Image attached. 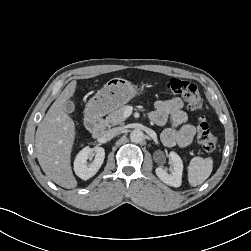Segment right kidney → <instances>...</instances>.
Segmentation results:
<instances>
[{
	"label": "right kidney",
	"mask_w": 251,
	"mask_h": 251,
	"mask_svg": "<svg viewBox=\"0 0 251 251\" xmlns=\"http://www.w3.org/2000/svg\"><path fill=\"white\" fill-rule=\"evenodd\" d=\"M95 155L93 162L87 165V159L89 156ZM105 158V150L102 147H84L76 156L74 160V171L78 177L83 180H87L94 176Z\"/></svg>",
	"instance_id": "1"
}]
</instances>
